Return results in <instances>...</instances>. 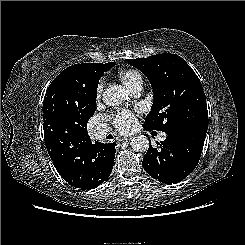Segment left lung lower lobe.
Returning a JSON list of instances; mask_svg holds the SVG:
<instances>
[{"instance_id":"0a47b994","label":"left lung lower lobe","mask_w":245,"mask_h":245,"mask_svg":"<svg viewBox=\"0 0 245 245\" xmlns=\"http://www.w3.org/2000/svg\"><path fill=\"white\" fill-rule=\"evenodd\" d=\"M206 132L207 128L193 127L167 134L165 141L157 143L159 149L149 146L142 162L143 168L152 178L165 184L180 182L198 164Z\"/></svg>"}]
</instances>
